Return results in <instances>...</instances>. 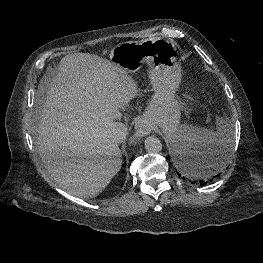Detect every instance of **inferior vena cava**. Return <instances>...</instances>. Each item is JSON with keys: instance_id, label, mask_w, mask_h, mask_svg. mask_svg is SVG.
I'll list each match as a JSON object with an SVG mask.
<instances>
[{"instance_id": "inferior-vena-cava-1", "label": "inferior vena cava", "mask_w": 263, "mask_h": 263, "mask_svg": "<svg viewBox=\"0 0 263 263\" xmlns=\"http://www.w3.org/2000/svg\"><path fill=\"white\" fill-rule=\"evenodd\" d=\"M127 136V127L120 122H114L111 129V138L113 141L120 143Z\"/></svg>"}]
</instances>
